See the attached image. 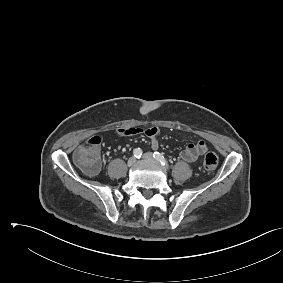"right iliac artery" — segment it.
<instances>
[{"instance_id": "right-iliac-artery-1", "label": "right iliac artery", "mask_w": 283, "mask_h": 283, "mask_svg": "<svg viewBox=\"0 0 283 283\" xmlns=\"http://www.w3.org/2000/svg\"><path fill=\"white\" fill-rule=\"evenodd\" d=\"M133 154L136 158H140L142 155V150L140 148H136L134 149Z\"/></svg>"}]
</instances>
